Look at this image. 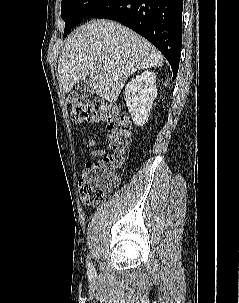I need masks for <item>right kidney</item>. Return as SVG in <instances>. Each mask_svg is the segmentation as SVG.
Returning a JSON list of instances; mask_svg holds the SVG:
<instances>
[{
	"instance_id": "obj_1",
	"label": "right kidney",
	"mask_w": 239,
	"mask_h": 303,
	"mask_svg": "<svg viewBox=\"0 0 239 303\" xmlns=\"http://www.w3.org/2000/svg\"><path fill=\"white\" fill-rule=\"evenodd\" d=\"M156 96V74L152 71H145L127 83L125 101L135 125L142 126L148 121Z\"/></svg>"
}]
</instances>
